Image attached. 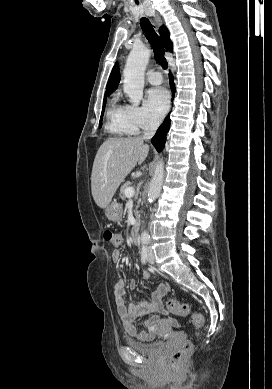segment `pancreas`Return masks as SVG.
I'll use <instances>...</instances> for the list:
<instances>
[{
	"label": "pancreas",
	"mask_w": 272,
	"mask_h": 389,
	"mask_svg": "<svg viewBox=\"0 0 272 389\" xmlns=\"http://www.w3.org/2000/svg\"><path fill=\"white\" fill-rule=\"evenodd\" d=\"M130 185V183L129 182H127V183H125L122 187H121V189H120V193H121V198H122V200H125L126 199V196H125V189L128 187Z\"/></svg>",
	"instance_id": "pancreas-1"
}]
</instances>
